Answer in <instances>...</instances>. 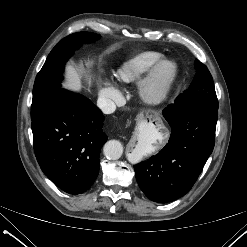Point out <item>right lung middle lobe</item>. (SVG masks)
Here are the masks:
<instances>
[{
	"label": "right lung middle lobe",
	"instance_id": "1",
	"mask_svg": "<svg viewBox=\"0 0 247 247\" xmlns=\"http://www.w3.org/2000/svg\"><path fill=\"white\" fill-rule=\"evenodd\" d=\"M98 36L90 32L74 33L62 39L52 49L35 79L31 105L32 121L39 117L62 89L60 86L65 62L83 43L92 42Z\"/></svg>",
	"mask_w": 247,
	"mask_h": 247
}]
</instances>
